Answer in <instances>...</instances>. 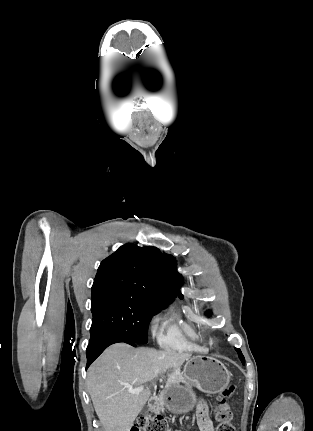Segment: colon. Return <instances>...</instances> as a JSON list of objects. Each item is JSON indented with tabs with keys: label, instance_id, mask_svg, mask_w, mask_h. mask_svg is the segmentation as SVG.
Listing matches in <instances>:
<instances>
[{
	"label": "colon",
	"instance_id": "5ec220e1",
	"mask_svg": "<svg viewBox=\"0 0 313 431\" xmlns=\"http://www.w3.org/2000/svg\"><path fill=\"white\" fill-rule=\"evenodd\" d=\"M235 394V386L229 385L219 397V404L224 405L225 401ZM216 431H235L231 424L230 414L225 409H220L216 414ZM131 431H168L167 422L161 416L154 415L148 411L141 415L134 423Z\"/></svg>",
	"mask_w": 313,
	"mask_h": 431
}]
</instances>
